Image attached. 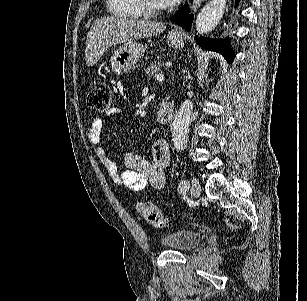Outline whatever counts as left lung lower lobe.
I'll return each instance as SVG.
<instances>
[{"instance_id": "obj_1", "label": "left lung lower lobe", "mask_w": 307, "mask_h": 301, "mask_svg": "<svg viewBox=\"0 0 307 301\" xmlns=\"http://www.w3.org/2000/svg\"><path fill=\"white\" fill-rule=\"evenodd\" d=\"M236 2L238 3V0H236ZM189 12V6L186 4L174 15L171 20L175 21V23L189 31L191 29V24L194 17V15L189 14ZM195 39L196 43L201 47L221 53L228 62L232 63L234 59V52L228 46H225V44H228V41L205 37L198 38L197 36H195Z\"/></svg>"}]
</instances>
